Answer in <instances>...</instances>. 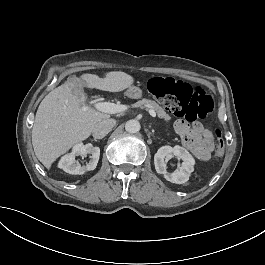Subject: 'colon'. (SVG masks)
Segmentation results:
<instances>
[{"mask_svg": "<svg viewBox=\"0 0 265 265\" xmlns=\"http://www.w3.org/2000/svg\"><path fill=\"white\" fill-rule=\"evenodd\" d=\"M149 93L175 116L189 121L205 119L212 107L214 97L201 87H193L190 84L175 79L171 76H153L147 84ZM214 136L217 147L215 158H221L225 152L222 131L216 129Z\"/></svg>", "mask_w": 265, "mask_h": 265, "instance_id": "colon-1", "label": "colon"}]
</instances>
